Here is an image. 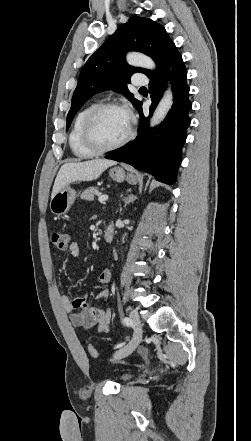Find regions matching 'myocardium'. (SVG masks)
I'll return each instance as SVG.
<instances>
[{"label":"myocardium","mask_w":251,"mask_h":441,"mask_svg":"<svg viewBox=\"0 0 251 441\" xmlns=\"http://www.w3.org/2000/svg\"><path fill=\"white\" fill-rule=\"evenodd\" d=\"M107 109H119L123 110L127 113L129 117V128L127 134L118 142L109 145V146H101L99 145L92 136L91 126L94 118L102 111ZM134 136V120L130 112L124 108L122 105L115 102H103L94 105L85 115L82 126H81V140L86 148L91 150L96 154H102L106 152H110L116 149L123 147L127 144Z\"/></svg>","instance_id":"f54148a6"}]
</instances>
